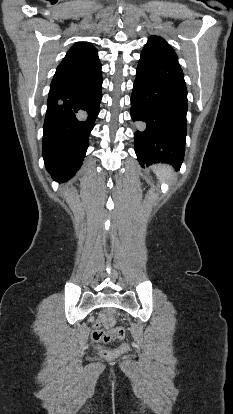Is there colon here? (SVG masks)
Here are the masks:
<instances>
[{"label": "colon", "instance_id": "obj_1", "mask_svg": "<svg viewBox=\"0 0 233 414\" xmlns=\"http://www.w3.org/2000/svg\"><path fill=\"white\" fill-rule=\"evenodd\" d=\"M115 322V311L113 309L104 310L98 321L95 323L94 330L92 332V338L96 343H108L113 340L123 339L125 337V329L123 327H117L112 329ZM103 325L105 329H101L100 325ZM100 354L109 358L114 354V351L101 348Z\"/></svg>", "mask_w": 233, "mask_h": 414}]
</instances>
